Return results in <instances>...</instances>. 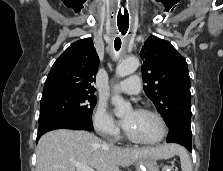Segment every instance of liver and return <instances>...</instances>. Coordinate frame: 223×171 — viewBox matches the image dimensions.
I'll list each match as a JSON object with an SVG mask.
<instances>
[{
	"label": "liver",
	"mask_w": 223,
	"mask_h": 171,
	"mask_svg": "<svg viewBox=\"0 0 223 171\" xmlns=\"http://www.w3.org/2000/svg\"><path fill=\"white\" fill-rule=\"evenodd\" d=\"M177 145L120 148L103 142L87 131L59 129L44 134L37 145L35 171H76L75 163L95 171H120L143 158L169 159Z\"/></svg>",
	"instance_id": "liver-1"
}]
</instances>
